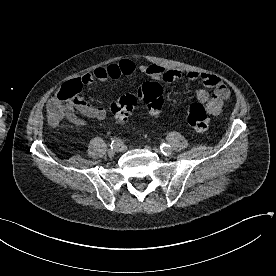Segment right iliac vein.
Segmentation results:
<instances>
[{"label":"right iliac vein","instance_id":"right-iliac-vein-1","mask_svg":"<svg viewBox=\"0 0 276 276\" xmlns=\"http://www.w3.org/2000/svg\"><path fill=\"white\" fill-rule=\"evenodd\" d=\"M123 150V147H113L111 149L108 150V154L109 155H113L115 152H121Z\"/></svg>","mask_w":276,"mask_h":276}]
</instances>
